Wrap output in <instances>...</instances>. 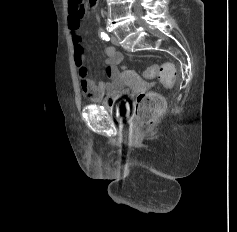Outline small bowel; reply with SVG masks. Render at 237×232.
I'll use <instances>...</instances> for the list:
<instances>
[{"mask_svg":"<svg viewBox=\"0 0 237 232\" xmlns=\"http://www.w3.org/2000/svg\"><path fill=\"white\" fill-rule=\"evenodd\" d=\"M81 19L73 15L68 16V26L72 37L74 49V62L80 75V84L83 92L93 101L105 100V103L112 104L119 99L124 91L125 84L119 71V65L123 62V56L113 46L105 49V75L108 81L94 80L87 74L85 67V56L80 32Z\"/></svg>","mask_w":237,"mask_h":232,"instance_id":"small-bowel-1","label":"small bowel"}]
</instances>
